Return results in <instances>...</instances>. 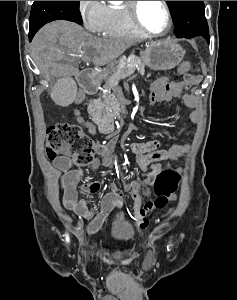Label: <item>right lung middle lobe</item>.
I'll return each instance as SVG.
<instances>
[{"instance_id": "obj_1", "label": "right lung middle lobe", "mask_w": 237, "mask_h": 300, "mask_svg": "<svg viewBox=\"0 0 237 300\" xmlns=\"http://www.w3.org/2000/svg\"><path fill=\"white\" fill-rule=\"evenodd\" d=\"M60 19L82 24L79 1H34L30 31L37 32L46 23Z\"/></svg>"}]
</instances>
